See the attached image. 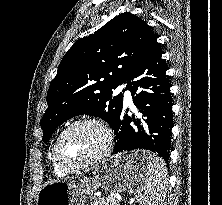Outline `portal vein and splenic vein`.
Masks as SVG:
<instances>
[{"instance_id": "portal-vein-and-splenic-vein-1", "label": "portal vein and splenic vein", "mask_w": 222, "mask_h": 205, "mask_svg": "<svg viewBox=\"0 0 222 205\" xmlns=\"http://www.w3.org/2000/svg\"><path fill=\"white\" fill-rule=\"evenodd\" d=\"M116 198H117L118 200H122V198H121L120 195H116Z\"/></svg>"}]
</instances>
